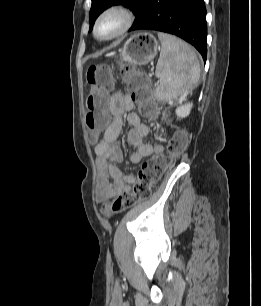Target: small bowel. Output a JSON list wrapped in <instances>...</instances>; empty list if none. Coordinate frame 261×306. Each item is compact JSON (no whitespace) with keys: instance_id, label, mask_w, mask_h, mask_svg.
Here are the masks:
<instances>
[{"instance_id":"c3829d8e","label":"small bowel","mask_w":261,"mask_h":306,"mask_svg":"<svg viewBox=\"0 0 261 306\" xmlns=\"http://www.w3.org/2000/svg\"><path fill=\"white\" fill-rule=\"evenodd\" d=\"M134 102L130 96L122 92H115L110 97L109 110L112 121L105 129L102 139L95 147L97 173V192L100 201H108L120 193L128 192L135 181L134 174H125L118 167L123 162L124 156L116 141L122 131V116L128 113L127 120L131 125L127 138L132 146L129 159L137 164L154 152H161L162 146L152 145L145 141L151 133V128L143 123L140 116L133 112ZM107 205H103L102 211L106 212Z\"/></svg>"}]
</instances>
